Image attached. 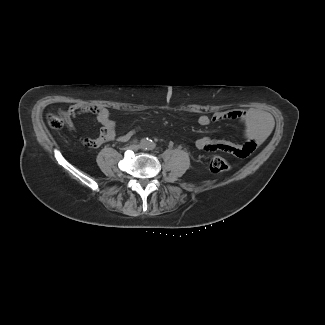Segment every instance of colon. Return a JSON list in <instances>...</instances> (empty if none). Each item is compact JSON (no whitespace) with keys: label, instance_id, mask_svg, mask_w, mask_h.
<instances>
[{"label":"colon","instance_id":"1","mask_svg":"<svg viewBox=\"0 0 325 325\" xmlns=\"http://www.w3.org/2000/svg\"><path fill=\"white\" fill-rule=\"evenodd\" d=\"M47 122L49 126L55 130H61L65 125L64 119L55 114L48 115ZM209 168L213 173H222L229 170L230 165L223 157L214 155L210 158Z\"/></svg>","mask_w":325,"mask_h":325}]
</instances>
